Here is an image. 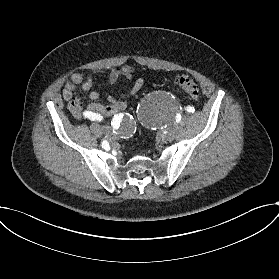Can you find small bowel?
I'll list each match as a JSON object with an SVG mask.
<instances>
[{"instance_id": "obj_1", "label": "small bowel", "mask_w": 279, "mask_h": 279, "mask_svg": "<svg viewBox=\"0 0 279 279\" xmlns=\"http://www.w3.org/2000/svg\"><path fill=\"white\" fill-rule=\"evenodd\" d=\"M135 68L131 65H124L121 68H113L107 74V82L114 85L118 80L125 79L132 82ZM143 80L136 81L134 86L119 97H108L107 103L97 102L99 93L92 90L93 76L81 73H73L70 79L65 83L62 95L68 101V108L72 115L79 120L92 119L97 114L112 115L127 107L128 100L135 96L142 87ZM78 92H89V98L92 100L86 107L80 101Z\"/></svg>"}]
</instances>
